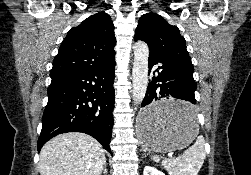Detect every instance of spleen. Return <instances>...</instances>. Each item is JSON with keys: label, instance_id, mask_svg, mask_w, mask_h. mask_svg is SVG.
<instances>
[{"label": "spleen", "instance_id": "obj_1", "mask_svg": "<svg viewBox=\"0 0 251 175\" xmlns=\"http://www.w3.org/2000/svg\"><path fill=\"white\" fill-rule=\"evenodd\" d=\"M183 113L185 123L194 119L191 109H184ZM205 157V139L203 135H198L195 143L185 149L183 155H179L177 159H163L162 163L169 171V175H197ZM154 161H159V159L154 157Z\"/></svg>", "mask_w": 251, "mask_h": 175}]
</instances>
